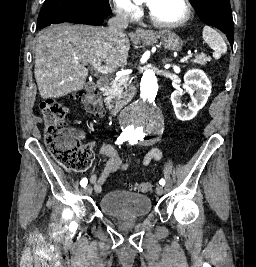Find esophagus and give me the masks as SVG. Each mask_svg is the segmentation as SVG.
Instances as JSON below:
<instances>
[{
	"instance_id": "1",
	"label": "esophagus",
	"mask_w": 256,
	"mask_h": 267,
	"mask_svg": "<svg viewBox=\"0 0 256 267\" xmlns=\"http://www.w3.org/2000/svg\"><path fill=\"white\" fill-rule=\"evenodd\" d=\"M135 35L142 37V36H148L151 37L153 34L151 32H148L147 30H143L142 28H137L135 31Z\"/></svg>"
}]
</instances>
